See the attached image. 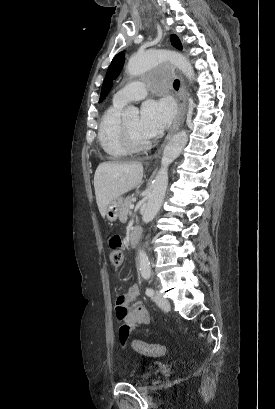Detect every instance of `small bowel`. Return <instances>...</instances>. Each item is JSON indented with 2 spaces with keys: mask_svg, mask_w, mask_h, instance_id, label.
<instances>
[{
  "mask_svg": "<svg viewBox=\"0 0 275 409\" xmlns=\"http://www.w3.org/2000/svg\"><path fill=\"white\" fill-rule=\"evenodd\" d=\"M140 292L138 284H133L128 287L124 295L118 297L116 305L113 308L117 318L121 321V334L117 344L121 347L125 353L128 349V335L131 332L130 323L134 327H142L150 323L151 317L147 307L143 303H135L133 305H127L131 302Z\"/></svg>",
  "mask_w": 275,
  "mask_h": 409,
  "instance_id": "obj_1",
  "label": "small bowel"
}]
</instances>
